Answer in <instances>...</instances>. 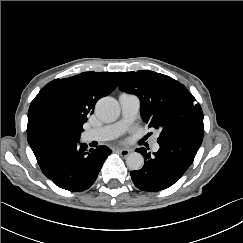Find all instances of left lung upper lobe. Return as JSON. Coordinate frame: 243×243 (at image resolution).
Wrapping results in <instances>:
<instances>
[{"mask_svg": "<svg viewBox=\"0 0 243 243\" xmlns=\"http://www.w3.org/2000/svg\"><path fill=\"white\" fill-rule=\"evenodd\" d=\"M118 88L139 97L144 121L160 131L158 143L187 129H204L200 105L169 76L149 70L124 72Z\"/></svg>", "mask_w": 243, "mask_h": 243, "instance_id": "1", "label": "left lung upper lobe"}]
</instances>
